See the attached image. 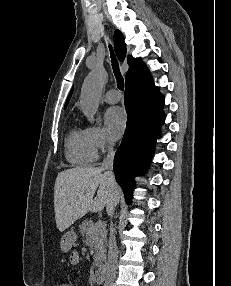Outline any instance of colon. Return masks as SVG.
Returning <instances> with one entry per match:
<instances>
[{
  "label": "colon",
  "mask_w": 231,
  "mask_h": 286,
  "mask_svg": "<svg viewBox=\"0 0 231 286\" xmlns=\"http://www.w3.org/2000/svg\"><path fill=\"white\" fill-rule=\"evenodd\" d=\"M55 286H71V284L66 281H58Z\"/></svg>",
  "instance_id": "colon-1"
}]
</instances>
